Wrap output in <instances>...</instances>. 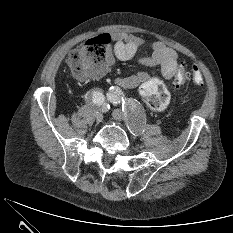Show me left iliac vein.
Masks as SVG:
<instances>
[{
    "label": "left iliac vein",
    "mask_w": 233,
    "mask_h": 233,
    "mask_svg": "<svg viewBox=\"0 0 233 233\" xmlns=\"http://www.w3.org/2000/svg\"><path fill=\"white\" fill-rule=\"evenodd\" d=\"M112 116L116 121H125L126 124L128 125L130 132L133 135H135V136L140 135L141 129H140L139 125L133 119L124 115L121 110H119V109L113 110Z\"/></svg>",
    "instance_id": "4c4485c4"
}]
</instances>
